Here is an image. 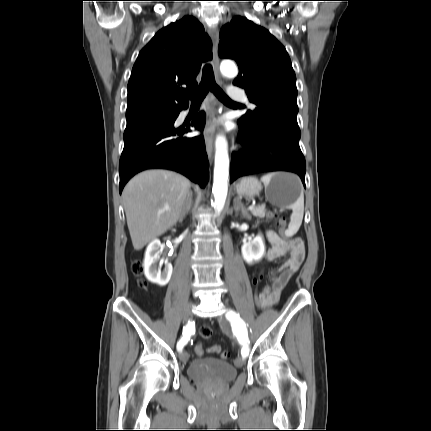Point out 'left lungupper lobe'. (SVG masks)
Listing matches in <instances>:
<instances>
[{
  "label": "left lung upper lobe",
  "instance_id": "left-lung-upper-lobe-1",
  "mask_svg": "<svg viewBox=\"0 0 431 431\" xmlns=\"http://www.w3.org/2000/svg\"><path fill=\"white\" fill-rule=\"evenodd\" d=\"M218 53L239 66L234 85L245 89L254 111L238 124L252 129L267 121L298 127L296 76L284 46L268 30L236 17L220 32Z\"/></svg>",
  "mask_w": 431,
  "mask_h": 431
}]
</instances>
